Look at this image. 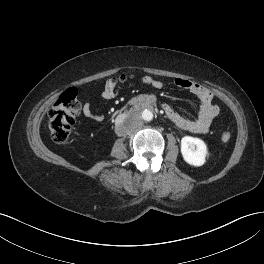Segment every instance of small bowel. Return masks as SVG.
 <instances>
[{"instance_id":"1","label":"small bowel","mask_w":264,"mask_h":264,"mask_svg":"<svg viewBox=\"0 0 264 264\" xmlns=\"http://www.w3.org/2000/svg\"><path fill=\"white\" fill-rule=\"evenodd\" d=\"M142 81L158 89L163 86L162 81L150 76L142 77ZM173 83L177 87L192 92L199 99V111L194 119H189L176 112L171 106L165 104L163 105V111L167 118L176 127L182 130L195 134L207 133L211 127L213 119L219 112L218 107L212 103V93L201 84L187 79L177 78L174 79ZM116 94L117 91L112 89L108 84L105 85L101 92L102 98L108 101L114 99ZM82 113L85 117L95 121H101L104 118L103 114L95 111L89 102L83 104Z\"/></svg>"}]
</instances>
